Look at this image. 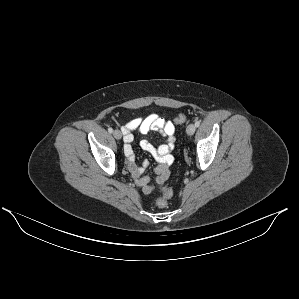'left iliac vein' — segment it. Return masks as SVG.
I'll return each instance as SVG.
<instances>
[{
    "mask_svg": "<svg viewBox=\"0 0 299 299\" xmlns=\"http://www.w3.org/2000/svg\"><path fill=\"white\" fill-rule=\"evenodd\" d=\"M196 126L194 124H189L186 128V132L188 135H193L195 132Z\"/></svg>",
    "mask_w": 299,
    "mask_h": 299,
    "instance_id": "4c4485c4",
    "label": "left iliac vein"
}]
</instances>
